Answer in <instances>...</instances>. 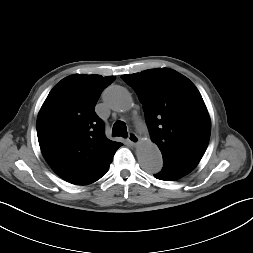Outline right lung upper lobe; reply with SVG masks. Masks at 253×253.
<instances>
[{
  "label": "right lung upper lobe",
  "instance_id": "right-lung-upper-lobe-1",
  "mask_svg": "<svg viewBox=\"0 0 253 253\" xmlns=\"http://www.w3.org/2000/svg\"><path fill=\"white\" fill-rule=\"evenodd\" d=\"M115 76L74 74L51 90L37 118L42 154L62 179L87 185L108 170L119 142L106 138L103 121L94 107Z\"/></svg>",
  "mask_w": 253,
  "mask_h": 253
}]
</instances>
